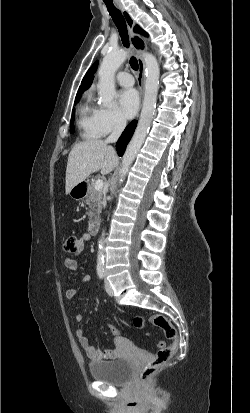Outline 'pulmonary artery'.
<instances>
[{
    "mask_svg": "<svg viewBox=\"0 0 250 413\" xmlns=\"http://www.w3.org/2000/svg\"><path fill=\"white\" fill-rule=\"evenodd\" d=\"M117 82L124 87H132L134 84V79L131 74L127 72H119L116 75Z\"/></svg>",
    "mask_w": 250,
    "mask_h": 413,
    "instance_id": "obj_1",
    "label": "pulmonary artery"
}]
</instances>
